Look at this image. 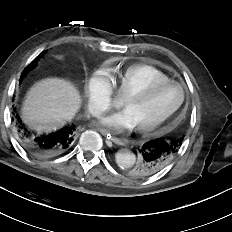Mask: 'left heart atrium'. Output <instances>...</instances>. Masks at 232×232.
I'll return each mask as SVG.
<instances>
[{
  "mask_svg": "<svg viewBox=\"0 0 232 232\" xmlns=\"http://www.w3.org/2000/svg\"><path fill=\"white\" fill-rule=\"evenodd\" d=\"M100 122L105 128L115 133H123L136 127L132 115L126 110L103 117Z\"/></svg>",
  "mask_w": 232,
  "mask_h": 232,
  "instance_id": "left-heart-atrium-1",
  "label": "left heart atrium"
}]
</instances>
